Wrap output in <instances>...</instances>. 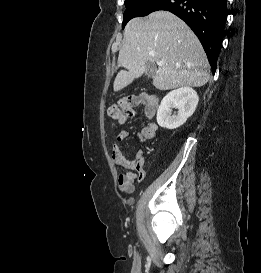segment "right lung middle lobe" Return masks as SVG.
I'll use <instances>...</instances> for the list:
<instances>
[{
    "label": "right lung middle lobe",
    "instance_id": "obj_1",
    "mask_svg": "<svg viewBox=\"0 0 261 273\" xmlns=\"http://www.w3.org/2000/svg\"><path fill=\"white\" fill-rule=\"evenodd\" d=\"M152 0H125V4H126V11L124 13V20L122 23V28L125 27V25L127 24V22L134 18V17H140L141 16V12L139 11V7L142 4H145L147 2H150Z\"/></svg>",
    "mask_w": 261,
    "mask_h": 273
}]
</instances>
